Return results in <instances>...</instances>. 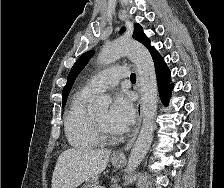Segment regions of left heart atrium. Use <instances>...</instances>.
<instances>
[{"mask_svg":"<svg viewBox=\"0 0 224 188\" xmlns=\"http://www.w3.org/2000/svg\"><path fill=\"white\" fill-rule=\"evenodd\" d=\"M135 111L131 102V98L127 93L118 94L109 111V123L117 132L126 131L133 123Z\"/></svg>","mask_w":224,"mask_h":188,"instance_id":"obj_1","label":"left heart atrium"}]
</instances>
